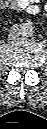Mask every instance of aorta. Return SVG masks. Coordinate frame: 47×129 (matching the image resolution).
<instances>
[{
  "label": "aorta",
  "mask_w": 47,
  "mask_h": 129,
  "mask_svg": "<svg viewBox=\"0 0 47 129\" xmlns=\"http://www.w3.org/2000/svg\"><path fill=\"white\" fill-rule=\"evenodd\" d=\"M20 33L23 36H31L33 34V28L29 24H23V25H21Z\"/></svg>",
  "instance_id": "762f6f07"
}]
</instances>
